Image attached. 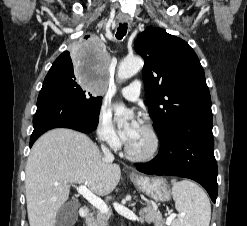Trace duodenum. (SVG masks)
Returning a JSON list of instances; mask_svg holds the SVG:
<instances>
[{"instance_id": "obj_1", "label": "duodenum", "mask_w": 247, "mask_h": 226, "mask_svg": "<svg viewBox=\"0 0 247 226\" xmlns=\"http://www.w3.org/2000/svg\"><path fill=\"white\" fill-rule=\"evenodd\" d=\"M80 216L82 219H87L90 216V210L87 207H82L80 209Z\"/></svg>"}]
</instances>
